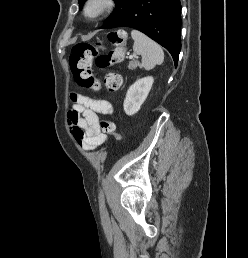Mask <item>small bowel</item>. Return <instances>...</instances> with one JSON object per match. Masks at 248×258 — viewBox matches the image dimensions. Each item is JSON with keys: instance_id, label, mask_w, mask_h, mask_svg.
Instances as JSON below:
<instances>
[{"instance_id": "obj_1", "label": "small bowel", "mask_w": 248, "mask_h": 258, "mask_svg": "<svg viewBox=\"0 0 248 258\" xmlns=\"http://www.w3.org/2000/svg\"><path fill=\"white\" fill-rule=\"evenodd\" d=\"M111 75L117 77L121 82L119 75ZM72 99L75 105L68 114L71 134L80 149L95 150L107 140V135L100 127V116L111 114L112 105L106 100L76 93L72 95Z\"/></svg>"}]
</instances>
